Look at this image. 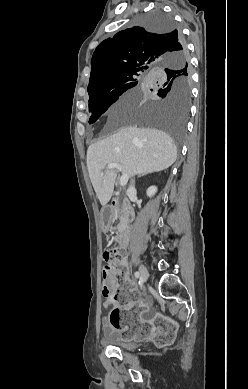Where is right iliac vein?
Listing matches in <instances>:
<instances>
[{"label":"right iliac vein","instance_id":"right-iliac-vein-1","mask_svg":"<svg viewBox=\"0 0 248 389\" xmlns=\"http://www.w3.org/2000/svg\"><path fill=\"white\" fill-rule=\"evenodd\" d=\"M139 273H140V276H141V279L142 281H146L148 279V270L147 268L144 266V265H140L139 267Z\"/></svg>","mask_w":248,"mask_h":389}]
</instances>
